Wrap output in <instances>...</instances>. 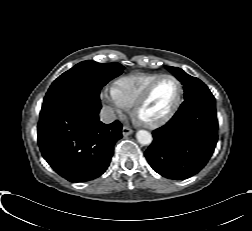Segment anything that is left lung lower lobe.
<instances>
[{
	"label": "left lung lower lobe",
	"instance_id": "left-lung-lower-lobe-1",
	"mask_svg": "<svg viewBox=\"0 0 252 231\" xmlns=\"http://www.w3.org/2000/svg\"><path fill=\"white\" fill-rule=\"evenodd\" d=\"M215 98L200 95L185 99L164 126L153 131L145 152L151 167L170 179H186L208 162L217 143Z\"/></svg>",
	"mask_w": 252,
	"mask_h": 231
}]
</instances>
